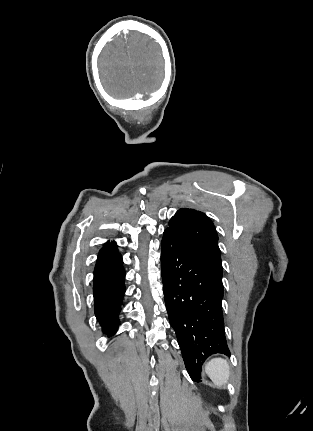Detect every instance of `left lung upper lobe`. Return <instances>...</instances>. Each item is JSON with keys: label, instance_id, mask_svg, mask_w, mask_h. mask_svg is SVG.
Masks as SVG:
<instances>
[{"label": "left lung upper lobe", "instance_id": "5c2ea615", "mask_svg": "<svg viewBox=\"0 0 313 431\" xmlns=\"http://www.w3.org/2000/svg\"><path fill=\"white\" fill-rule=\"evenodd\" d=\"M166 232L183 246L204 256L222 269L218 235L213 222L202 212L182 208L169 221Z\"/></svg>", "mask_w": 313, "mask_h": 431}]
</instances>
